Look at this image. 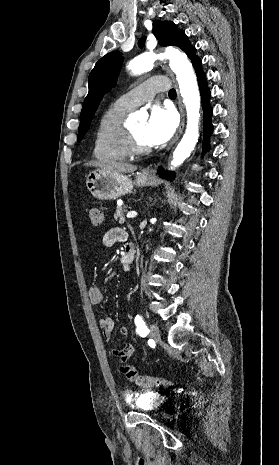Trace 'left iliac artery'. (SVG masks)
Masks as SVG:
<instances>
[{"label": "left iliac artery", "mask_w": 279, "mask_h": 465, "mask_svg": "<svg viewBox=\"0 0 279 465\" xmlns=\"http://www.w3.org/2000/svg\"><path fill=\"white\" fill-rule=\"evenodd\" d=\"M135 324H136V327H137L136 332L140 336L145 337L148 334L149 330H148V327H147L145 321L143 320V318L141 316L137 315L135 317Z\"/></svg>", "instance_id": "1"}]
</instances>
